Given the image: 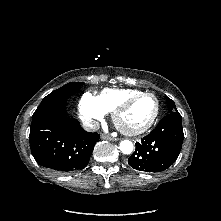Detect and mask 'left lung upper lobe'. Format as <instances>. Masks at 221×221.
Returning <instances> with one entry per match:
<instances>
[{"instance_id": "5c2ea615", "label": "left lung upper lobe", "mask_w": 221, "mask_h": 221, "mask_svg": "<svg viewBox=\"0 0 221 221\" xmlns=\"http://www.w3.org/2000/svg\"><path fill=\"white\" fill-rule=\"evenodd\" d=\"M166 100H167V104H168V109H169L171 112L177 111L176 106H175V103L173 102V100H171V99L168 98V97H166Z\"/></svg>"}]
</instances>
